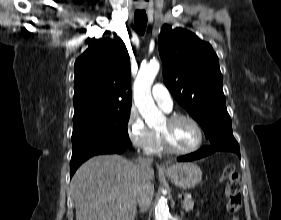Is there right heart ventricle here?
I'll use <instances>...</instances> for the list:
<instances>
[{
	"mask_svg": "<svg viewBox=\"0 0 281 220\" xmlns=\"http://www.w3.org/2000/svg\"><path fill=\"white\" fill-rule=\"evenodd\" d=\"M154 136H155V140L150 153H154V154L161 153L163 151V148L160 144L157 132H154Z\"/></svg>",
	"mask_w": 281,
	"mask_h": 220,
	"instance_id": "obj_1",
	"label": "right heart ventricle"
}]
</instances>
